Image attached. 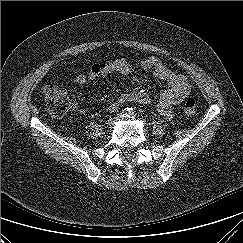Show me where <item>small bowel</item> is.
Here are the masks:
<instances>
[{
  "label": "small bowel",
  "instance_id": "small-bowel-1",
  "mask_svg": "<svg viewBox=\"0 0 243 243\" xmlns=\"http://www.w3.org/2000/svg\"><path fill=\"white\" fill-rule=\"evenodd\" d=\"M143 70L152 71L153 75L167 83L168 88L164 90L158 99L157 107L160 114L166 119L173 117V106L181 103L191 91V84L181 73L166 67L160 59L148 56L140 62ZM133 65L125 58L114 61L100 62L92 65L88 73L79 74L76 83L84 85L92 83L98 78H107L113 74L128 75L132 72ZM126 102H137L142 105H150L151 97L145 90H138L119 96L108 108L110 112Z\"/></svg>",
  "mask_w": 243,
  "mask_h": 243
}]
</instances>
